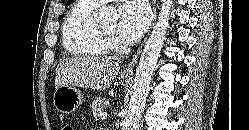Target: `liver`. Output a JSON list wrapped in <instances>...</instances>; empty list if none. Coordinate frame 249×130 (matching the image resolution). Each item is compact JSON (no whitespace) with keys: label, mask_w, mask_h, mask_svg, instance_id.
<instances>
[{"label":"liver","mask_w":249,"mask_h":130,"mask_svg":"<svg viewBox=\"0 0 249 130\" xmlns=\"http://www.w3.org/2000/svg\"><path fill=\"white\" fill-rule=\"evenodd\" d=\"M120 71L119 64L93 56L62 60L56 68L55 88L77 86L102 90L109 88Z\"/></svg>","instance_id":"obj_1"}]
</instances>
